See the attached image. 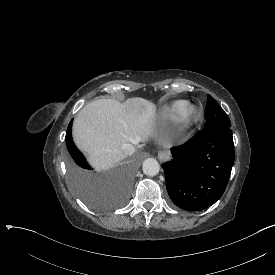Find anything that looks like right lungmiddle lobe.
Here are the masks:
<instances>
[{
    "instance_id": "dd1d6c3e",
    "label": "right lung middle lobe",
    "mask_w": 275,
    "mask_h": 275,
    "mask_svg": "<svg viewBox=\"0 0 275 275\" xmlns=\"http://www.w3.org/2000/svg\"><path fill=\"white\" fill-rule=\"evenodd\" d=\"M66 145L70 185L88 207L97 211H109L127 200L137 172V160L147 156L146 150L134 153L131 165L127 159H114L112 166L117 169H95L73 142L72 121L67 128Z\"/></svg>"
}]
</instances>
